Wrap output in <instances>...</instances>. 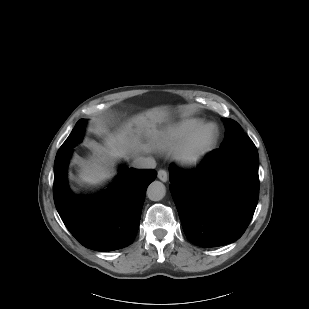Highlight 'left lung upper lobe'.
Returning <instances> with one entry per match:
<instances>
[{"label":"left lung upper lobe","instance_id":"5c2ea615","mask_svg":"<svg viewBox=\"0 0 309 309\" xmlns=\"http://www.w3.org/2000/svg\"><path fill=\"white\" fill-rule=\"evenodd\" d=\"M225 123L226 133L221 149H228L242 144L253 143L236 121L225 118Z\"/></svg>","mask_w":309,"mask_h":309}]
</instances>
